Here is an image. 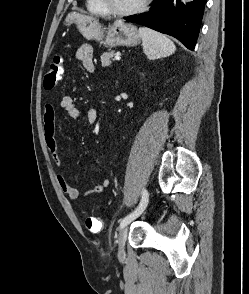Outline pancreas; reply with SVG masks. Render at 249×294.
Here are the masks:
<instances>
[{
	"mask_svg": "<svg viewBox=\"0 0 249 294\" xmlns=\"http://www.w3.org/2000/svg\"><path fill=\"white\" fill-rule=\"evenodd\" d=\"M115 56L114 51L105 52L101 55V62L103 67H107L111 64V59Z\"/></svg>",
	"mask_w": 249,
	"mask_h": 294,
	"instance_id": "cf45deb5",
	"label": "pancreas"
}]
</instances>
